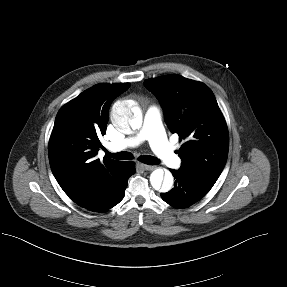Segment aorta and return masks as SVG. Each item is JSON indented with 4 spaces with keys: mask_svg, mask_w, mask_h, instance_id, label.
<instances>
[{
    "mask_svg": "<svg viewBox=\"0 0 287 287\" xmlns=\"http://www.w3.org/2000/svg\"><path fill=\"white\" fill-rule=\"evenodd\" d=\"M113 125L120 131L127 132L130 128L140 129L142 114L138 106L130 105L125 101L117 102L111 111ZM150 183L157 191L168 192L173 187L174 179L171 173L164 176L161 168L154 170L150 175Z\"/></svg>",
    "mask_w": 287,
    "mask_h": 287,
    "instance_id": "1",
    "label": "aorta"
}]
</instances>
